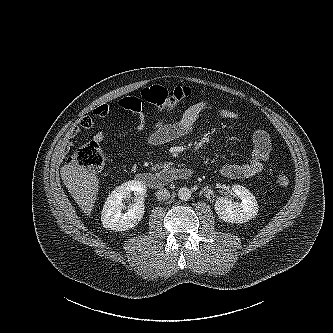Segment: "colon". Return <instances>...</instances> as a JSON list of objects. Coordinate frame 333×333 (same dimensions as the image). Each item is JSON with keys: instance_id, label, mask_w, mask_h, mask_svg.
<instances>
[{"instance_id": "colon-1", "label": "colon", "mask_w": 333, "mask_h": 333, "mask_svg": "<svg viewBox=\"0 0 333 333\" xmlns=\"http://www.w3.org/2000/svg\"><path fill=\"white\" fill-rule=\"evenodd\" d=\"M190 94L191 90L187 87H176L170 91L165 87L154 85L143 89L141 98L159 109L172 110ZM67 161L70 164L80 165L92 171H99L104 166L105 154L99 144L92 141L74 150ZM276 184L280 187L288 186L289 178L287 174L280 173L276 178Z\"/></svg>"}]
</instances>
